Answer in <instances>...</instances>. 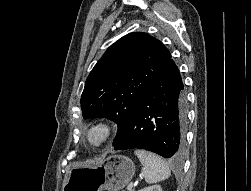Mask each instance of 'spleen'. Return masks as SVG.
I'll list each match as a JSON object with an SVG mask.
<instances>
[{"instance_id":"3e777b00","label":"spleen","mask_w":251,"mask_h":191,"mask_svg":"<svg viewBox=\"0 0 251 191\" xmlns=\"http://www.w3.org/2000/svg\"><path fill=\"white\" fill-rule=\"evenodd\" d=\"M135 155L139 157L142 165V175L148 183H156L161 179H167L171 175L170 167L160 155L146 151V149H135Z\"/></svg>"}]
</instances>
